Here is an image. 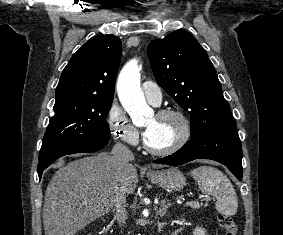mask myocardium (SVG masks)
<instances>
[{"instance_id":"myocardium-1","label":"myocardium","mask_w":283,"mask_h":235,"mask_svg":"<svg viewBox=\"0 0 283 235\" xmlns=\"http://www.w3.org/2000/svg\"><path fill=\"white\" fill-rule=\"evenodd\" d=\"M159 118H167V117H174L178 119L181 123V133L178 136L177 140L170 145L167 148L164 149H156L152 147L146 139H144V148L147 152L150 154L156 155V156H169L177 151H179L181 148H183L190 140L192 135V126L189 118L180 110L176 109H162L157 112L156 114Z\"/></svg>"}]
</instances>
